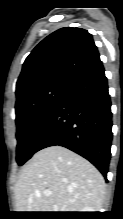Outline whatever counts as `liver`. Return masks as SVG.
I'll list each match as a JSON object with an SVG mask.
<instances>
[{"mask_svg":"<svg viewBox=\"0 0 123 219\" xmlns=\"http://www.w3.org/2000/svg\"><path fill=\"white\" fill-rule=\"evenodd\" d=\"M105 188L103 176L88 160L62 146H50L35 153L24 165L15 185L16 210H100ZM45 191L51 194L46 196Z\"/></svg>","mask_w":123,"mask_h":219,"instance_id":"6515ba94","label":"liver"}]
</instances>
